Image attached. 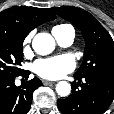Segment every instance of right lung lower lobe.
Wrapping results in <instances>:
<instances>
[{"label": "right lung lower lobe", "mask_w": 114, "mask_h": 114, "mask_svg": "<svg viewBox=\"0 0 114 114\" xmlns=\"http://www.w3.org/2000/svg\"><path fill=\"white\" fill-rule=\"evenodd\" d=\"M29 73L24 70L18 76L27 79ZM15 78L0 80V114H26L30 109L34 90L42 86V82L35 77L17 87Z\"/></svg>", "instance_id": "obj_1"}]
</instances>
